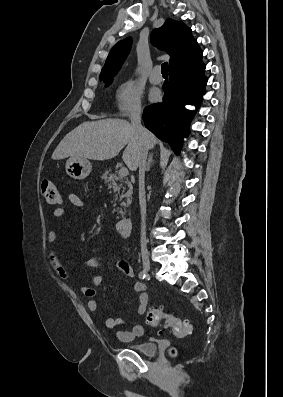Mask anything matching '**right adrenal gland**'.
<instances>
[{
  "label": "right adrenal gland",
  "instance_id": "right-adrenal-gland-1",
  "mask_svg": "<svg viewBox=\"0 0 283 397\" xmlns=\"http://www.w3.org/2000/svg\"><path fill=\"white\" fill-rule=\"evenodd\" d=\"M152 158H153V154H150L149 158H148V162H147V168H146L147 171L150 170L151 163H152Z\"/></svg>",
  "mask_w": 283,
  "mask_h": 397
}]
</instances>
